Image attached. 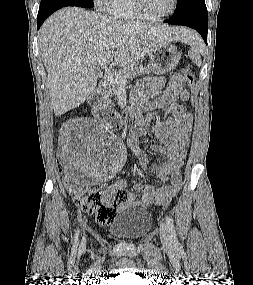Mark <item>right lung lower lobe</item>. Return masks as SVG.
Here are the masks:
<instances>
[{
    "instance_id": "right-lung-lower-lobe-1",
    "label": "right lung lower lobe",
    "mask_w": 253,
    "mask_h": 285,
    "mask_svg": "<svg viewBox=\"0 0 253 285\" xmlns=\"http://www.w3.org/2000/svg\"><path fill=\"white\" fill-rule=\"evenodd\" d=\"M67 7L62 5H45L39 8L38 16H37V29L41 27L43 22L56 10Z\"/></svg>"
}]
</instances>
